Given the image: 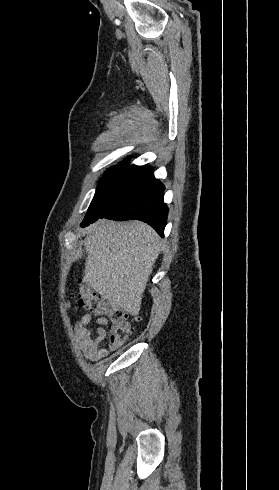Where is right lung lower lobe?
Returning <instances> with one entry per match:
<instances>
[{
  "instance_id": "1",
  "label": "right lung lower lobe",
  "mask_w": 279,
  "mask_h": 490,
  "mask_svg": "<svg viewBox=\"0 0 279 490\" xmlns=\"http://www.w3.org/2000/svg\"><path fill=\"white\" fill-rule=\"evenodd\" d=\"M164 189L165 186L155 178L144 184L127 187L107 201L105 210L97 219L141 220L163 236L168 215V207L164 203ZM97 219L82 223L81 227L88 226Z\"/></svg>"
}]
</instances>
